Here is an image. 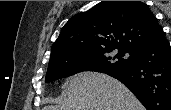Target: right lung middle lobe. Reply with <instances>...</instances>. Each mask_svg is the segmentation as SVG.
<instances>
[{
    "label": "right lung middle lobe",
    "instance_id": "dd1d6c3e",
    "mask_svg": "<svg viewBox=\"0 0 171 110\" xmlns=\"http://www.w3.org/2000/svg\"><path fill=\"white\" fill-rule=\"evenodd\" d=\"M114 49H118L116 55L113 54ZM125 53L130 54L128 59L123 58ZM133 60V52L122 48L92 50L57 56L49 62L45 82H52L81 71L106 73L113 69L127 67L133 63Z\"/></svg>",
    "mask_w": 171,
    "mask_h": 110
}]
</instances>
